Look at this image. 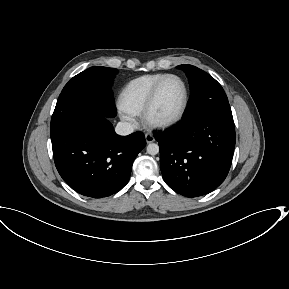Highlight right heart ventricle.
<instances>
[{"instance_id":"e07e8e85","label":"right heart ventricle","mask_w":289,"mask_h":289,"mask_svg":"<svg viewBox=\"0 0 289 289\" xmlns=\"http://www.w3.org/2000/svg\"><path fill=\"white\" fill-rule=\"evenodd\" d=\"M166 75L146 74L129 81L119 95L120 108L131 115L141 114L153 87Z\"/></svg>"}]
</instances>
